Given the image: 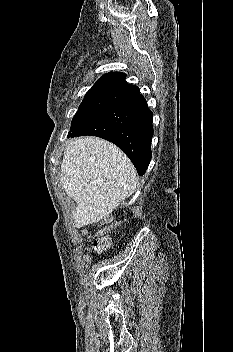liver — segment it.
<instances>
[{
  "instance_id": "liver-1",
  "label": "liver",
  "mask_w": 233,
  "mask_h": 352,
  "mask_svg": "<svg viewBox=\"0 0 233 352\" xmlns=\"http://www.w3.org/2000/svg\"><path fill=\"white\" fill-rule=\"evenodd\" d=\"M61 171L63 188L77 205L72 211L77 227L109 216L137 187L136 170L128 157L97 137L70 141Z\"/></svg>"
}]
</instances>
